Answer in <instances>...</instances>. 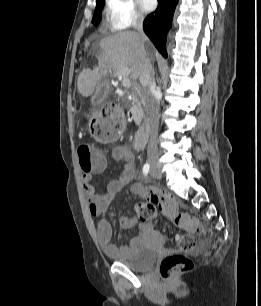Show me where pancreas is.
I'll list each match as a JSON object with an SVG mask.
<instances>
[{"instance_id":"obj_1","label":"pancreas","mask_w":261,"mask_h":306,"mask_svg":"<svg viewBox=\"0 0 261 306\" xmlns=\"http://www.w3.org/2000/svg\"><path fill=\"white\" fill-rule=\"evenodd\" d=\"M131 106L130 112L132 113V118L137 125H140L141 121L145 117L144 100L142 97H138L134 93L131 94Z\"/></svg>"}]
</instances>
